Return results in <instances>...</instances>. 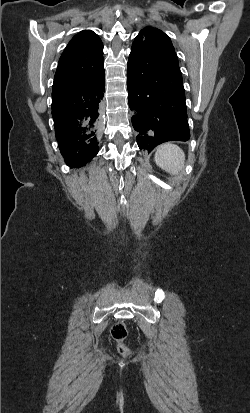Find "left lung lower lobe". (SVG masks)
Returning a JSON list of instances; mask_svg holds the SVG:
<instances>
[{"instance_id": "obj_1", "label": "left lung lower lobe", "mask_w": 250, "mask_h": 413, "mask_svg": "<svg viewBox=\"0 0 250 413\" xmlns=\"http://www.w3.org/2000/svg\"><path fill=\"white\" fill-rule=\"evenodd\" d=\"M127 88L141 150L150 153L163 142L190 138L177 56L157 39L147 37L132 45Z\"/></svg>"}]
</instances>
